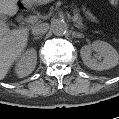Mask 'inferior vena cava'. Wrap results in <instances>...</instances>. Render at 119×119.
<instances>
[{"mask_svg":"<svg viewBox=\"0 0 119 119\" xmlns=\"http://www.w3.org/2000/svg\"><path fill=\"white\" fill-rule=\"evenodd\" d=\"M49 29L48 23H41L32 28L33 35H42L45 34Z\"/></svg>","mask_w":119,"mask_h":119,"instance_id":"obj_1","label":"inferior vena cava"}]
</instances>
